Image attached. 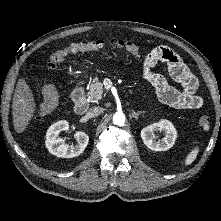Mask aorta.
I'll list each match as a JSON object with an SVG mask.
<instances>
[{
	"label": "aorta",
	"instance_id": "obj_1",
	"mask_svg": "<svg viewBox=\"0 0 221 221\" xmlns=\"http://www.w3.org/2000/svg\"><path fill=\"white\" fill-rule=\"evenodd\" d=\"M125 115L121 112H116L113 115V123L117 126H123L125 123Z\"/></svg>",
	"mask_w": 221,
	"mask_h": 221
}]
</instances>
